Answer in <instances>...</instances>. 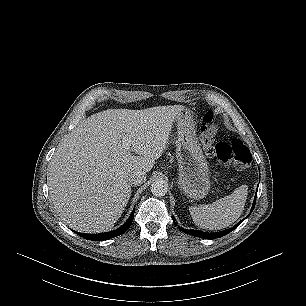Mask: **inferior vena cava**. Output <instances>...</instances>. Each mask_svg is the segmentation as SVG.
Returning <instances> with one entry per match:
<instances>
[{"instance_id": "obj_1", "label": "inferior vena cava", "mask_w": 306, "mask_h": 306, "mask_svg": "<svg viewBox=\"0 0 306 306\" xmlns=\"http://www.w3.org/2000/svg\"><path fill=\"white\" fill-rule=\"evenodd\" d=\"M145 180L146 174L142 171H134L128 177V183L134 186L140 185Z\"/></svg>"}]
</instances>
